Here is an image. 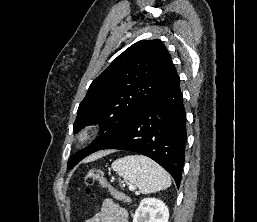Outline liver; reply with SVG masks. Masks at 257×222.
<instances>
[{"mask_svg":"<svg viewBox=\"0 0 257 222\" xmlns=\"http://www.w3.org/2000/svg\"><path fill=\"white\" fill-rule=\"evenodd\" d=\"M102 154H103V153H99V154L93 155V156L89 157L88 159H86V161H91V160H93V159H96V158H98L99 156H101Z\"/></svg>","mask_w":257,"mask_h":222,"instance_id":"liver-1","label":"liver"}]
</instances>
